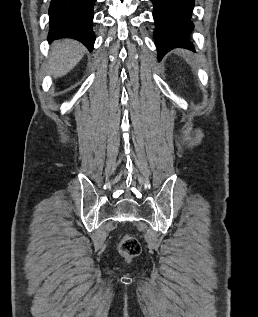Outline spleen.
<instances>
[{"label":"spleen","mask_w":258,"mask_h":317,"mask_svg":"<svg viewBox=\"0 0 258 317\" xmlns=\"http://www.w3.org/2000/svg\"><path fill=\"white\" fill-rule=\"evenodd\" d=\"M180 54H184V56H189L188 52H184V50H181Z\"/></svg>","instance_id":"spleen-1"}]
</instances>
